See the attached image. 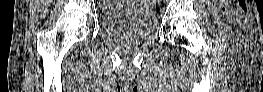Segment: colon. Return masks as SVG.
<instances>
[{"instance_id":"1","label":"colon","mask_w":263,"mask_h":92,"mask_svg":"<svg viewBox=\"0 0 263 92\" xmlns=\"http://www.w3.org/2000/svg\"><path fill=\"white\" fill-rule=\"evenodd\" d=\"M144 2H153V1H144Z\"/></svg>"}]
</instances>
